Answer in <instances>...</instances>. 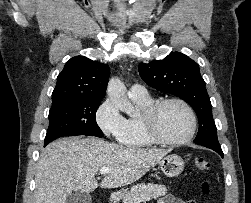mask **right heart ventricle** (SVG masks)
I'll return each mask as SVG.
<instances>
[{
  "label": "right heart ventricle",
  "mask_w": 251,
  "mask_h": 203,
  "mask_svg": "<svg viewBox=\"0 0 251 203\" xmlns=\"http://www.w3.org/2000/svg\"><path fill=\"white\" fill-rule=\"evenodd\" d=\"M132 100L141 109L142 113L145 108L153 102L150 96L145 99ZM142 113L138 116L126 119L125 129L118 138L123 146L129 148H144L153 144L144 132L142 125Z\"/></svg>",
  "instance_id": "e07e8e85"
}]
</instances>
